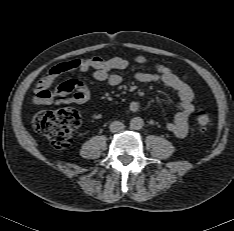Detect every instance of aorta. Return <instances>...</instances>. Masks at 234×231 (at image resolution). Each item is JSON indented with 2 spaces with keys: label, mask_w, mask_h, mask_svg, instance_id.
I'll use <instances>...</instances> for the list:
<instances>
[{
  "label": "aorta",
  "mask_w": 234,
  "mask_h": 231,
  "mask_svg": "<svg viewBox=\"0 0 234 231\" xmlns=\"http://www.w3.org/2000/svg\"><path fill=\"white\" fill-rule=\"evenodd\" d=\"M144 126V121L141 117H134L130 121V128L133 130H140Z\"/></svg>",
  "instance_id": "obj_1"
}]
</instances>
